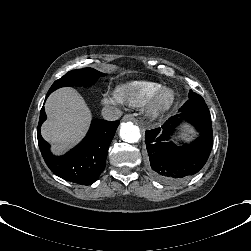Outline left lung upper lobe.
Wrapping results in <instances>:
<instances>
[{
	"label": "left lung upper lobe",
	"mask_w": 251,
	"mask_h": 251,
	"mask_svg": "<svg viewBox=\"0 0 251 251\" xmlns=\"http://www.w3.org/2000/svg\"><path fill=\"white\" fill-rule=\"evenodd\" d=\"M186 109H194L209 113V109L204 99L197 93H194L192 90L189 91V100L179 110Z\"/></svg>",
	"instance_id": "1"
}]
</instances>
